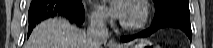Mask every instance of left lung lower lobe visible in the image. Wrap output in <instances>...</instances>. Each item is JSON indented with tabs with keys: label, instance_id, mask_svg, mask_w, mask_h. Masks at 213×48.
<instances>
[{
	"label": "left lung lower lobe",
	"instance_id": "left-lung-lower-lobe-1",
	"mask_svg": "<svg viewBox=\"0 0 213 48\" xmlns=\"http://www.w3.org/2000/svg\"><path fill=\"white\" fill-rule=\"evenodd\" d=\"M190 13L175 10V9H167L160 14L154 16L152 25L147 30L140 32L139 34L132 36H125L121 38L122 42H129L133 39L140 37H147L157 31L158 29L165 27H174L183 30L188 37L192 38V31L190 25Z\"/></svg>",
	"mask_w": 213,
	"mask_h": 48
}]
</instances>
